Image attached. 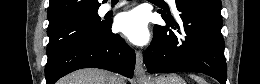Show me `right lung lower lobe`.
<instances>
[{
  "label": "right lung lower lobe",
  "instance_id": "98d812e1",
  "mask_svg": "<svg viewBox=\"0 0 260 84\" xmlns=\"http://www.w3.org/2000/svg\"><path fill=\"white\" fill-rule=\"evenodd\" d=\"M135 61V52L118 34L111 32V24H108L103 35L75 40L48 60L46 84H54L59 78L82 68H101L132 78Z\"/></svg>",
  "mask_w": 260,
  "mask_h": 84
}]
</instances>
